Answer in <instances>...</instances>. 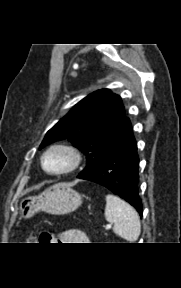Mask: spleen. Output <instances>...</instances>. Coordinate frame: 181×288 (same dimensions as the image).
<instances>
[{
  "label": "spleen",
  "instance_id": "spleen-1",
  "mask_svg": "<svg viewBox=\"0 0 181 288\" xmlns=\"http://www.w3.org/2000/svg\"><path fill=\"white\" fill-rule=\"evenodd\" d=\"M105 218L114 224V232L127 241H136L140 235V219L135 209L118 198L106 195Z\"/></svg>",
  "mask_w": 181,
  "mask_h": 288
}]
</instances>
